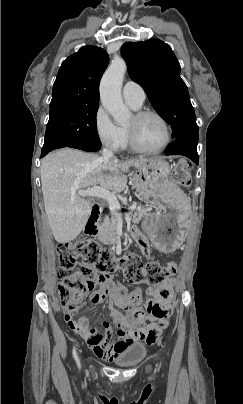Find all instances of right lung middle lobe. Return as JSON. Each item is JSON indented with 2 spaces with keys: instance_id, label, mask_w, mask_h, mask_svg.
<instances>
[{
  "instance_id": "obj_1",
  "label": "right lung middle lobe",
  "mask_w": 243,
  "mask_h": 404,
  "mask_svg": "<svg viewBox=\"0 0 243 404\" xmlns=\"http://www.w3.org/2000/svg\"><path fill=\"white\" fill-rule=\"evenodd\" d=\"M98 103H65L50 107L41 157L72 143L101 144L96 129Z\"/></svg>"
}]
</instances>
